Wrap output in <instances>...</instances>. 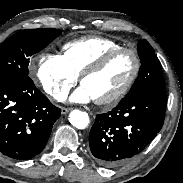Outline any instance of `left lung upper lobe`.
<instances>
[{
    "mask_svg": "<svg viewBox=\"0 0 183 183\" xmlns=\"http://www.w3.org/2000/svg\"><path fill=\"white\" fill-rule=\"evenodd\" d=\"M138 55L141 60L139 75L125 97L142 91H165L160 61L145 39L138 43Z\"/></svg>",
    "mask_w": 183,
    "mask_h": 183,
    "instance_id": "left-lung-upper-lobe-1",
    "label": "left lung upper lobe"
}]
</instances>
